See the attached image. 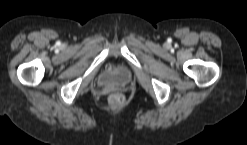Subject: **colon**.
Masks as SVG:
<instances>
[{
	"instance_id": "colon-1",
	"label": "colon",
	"mask_w": 247,
	"mask_h": 145,
	"mask_svg": "<svg viewBox=\"0 0 247 145\" xmlns=\"http://www.w3.org/2000/svg\"><path fill=\"white\" fill-rule=\"evenodd\" d=\"M111 101L113 104H120L122 99L119 95H114L112 98H111Z\"/></svg>"
}]
</instances>
